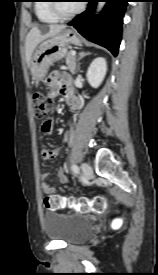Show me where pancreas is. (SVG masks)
<instances>
[{
    "label": "pancreas",
    "instance_id": "pancreas-1",
    "mask_svg": "<svg viewBox=\"0 0 158 275\" xmlns=\"http://www.w3.org/2000/svg\"><path fill=\"white\" fill-rule=\"evenodd\" d=\"M65 61H66L67 68L70 70V72H71L72 74H74V73H75V70H76V67H77V60H76V57L73 56V55L71 54V52H69V53L67 54V56H66Z\"/></svg>",
    "mask_w": 158,
    "mask_h": 275
}]
</instances>
